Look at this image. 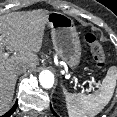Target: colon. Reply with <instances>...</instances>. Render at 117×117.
Instances as JSON below:
<instances>
[{"label": "colon", "instance_id": "1", "mask_svg": "<svg viewBox=\"0 0 117 117\" xmlns=\"http://www.w3.org/2000/svg\"><path fill=\"white\" fill-rule=\"evenodd\" d=\"M85 40L90 47L92 58L97 67L104 68L106 66V55L97 37L93 33H87L85 35Z\"/></svg>", "mask_w": 117, "mask_h": 117}]
</instances>
